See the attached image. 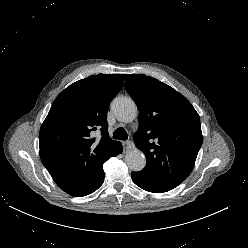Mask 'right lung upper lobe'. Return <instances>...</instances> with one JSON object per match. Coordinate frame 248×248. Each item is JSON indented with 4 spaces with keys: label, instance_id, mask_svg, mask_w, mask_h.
<instances>
[{
    "label": "right lung upper lobe",
    "instance_id": "cb5924a9",
    "mask_svg": "<svg viewBox=\"0 0 248 248\" xmlns=\"http://www.w3.org/2000/svg\"><path fill=\"white\" fill-rule=\"evenodd\" d=\"M124 74H98L79 80L53 102L40 133V158L55 183L72 196L90 189L120 142L108 135L107 112ZM101 133V139L93 135Z\"/></svg>",
    "mask_w": 248,
    "mask_h": 248
}]
</instances>
